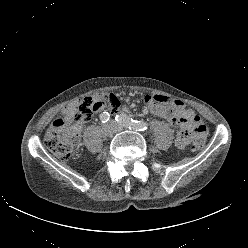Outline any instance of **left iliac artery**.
Segmentation results:
<instances>
[{"mask_svg": "<svg viewBox=\"0 0 248 248\" xmlns=\"http://www.w3.org/2000/svg\"><path fill=\"white\" fill-rule=\"evenodd\" d=\"M115 120L122 126L128 129H134L136 131H145L148 128V124L144 121H138L130 118L126 114H120L115 117Z\"/></svg>", "mask_w": 248, "mask_h": 248, "instance_id": "44dca946", "label": "left iliac artery"}]
</instances>
